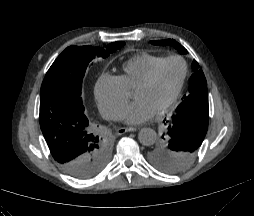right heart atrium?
<instances>
[{"mask_svg":"<svg viewBox=\"0 0 254 216\" xmlns=\"http://www.w3.org/2000/svg\"><path fill=\"white\" fill-rule=\"evenodd\" d=\"M94 95L102 116L117 120L123 112L130 93L118 76L102 74L97 80Z\"/></svg>","mask_w":254,"mask_h":216,"instance_id":"1","label":"right heart atrium"}]
</instances>
